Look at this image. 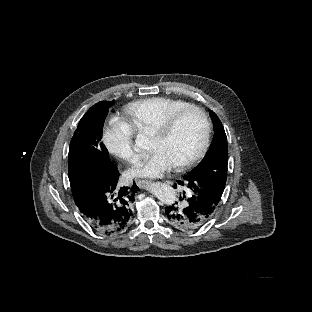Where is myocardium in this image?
<instances>
[{
  "label": "myocardium",
  "instance_id": "f54148a6",
  "mask_svg": "<svg viewBox=\"0 0 312 312\" xmlns=\"http://www.w3.org/2000/svg\"><path fill=\"white\" fill-rule=\"evenodd\" d=\"M195 118L197 124L201 129V148L200 151L193 154L192 157L187 158L186 161L176 163L173 162L170 164L169 169L171 172H186L190 167L195 168L198 166L199 162L205 160L206 155L211 151L212 146V136H213V126L209 122V117L206 115L205 111L199 108L194 107H184L175 111L165 120V123L161 125V128L158 129L157 135L159 138L164 139L167 137L168 133L174 128L175 125L179 123L182 119Z\"/></svg>",
  "mask_w": 312,
  "mask_h": 312
}]
</instances>
